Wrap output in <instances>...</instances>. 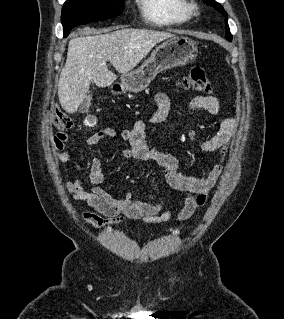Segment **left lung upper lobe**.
<instances>
[{
	"mask_svg": "<svg viewBox=\"0 0 284 319\" xmlns=\"http://www.w3.org/2000/svg\"><path fill=\"white\" fill-rule=\"evenodd\" d=\"M204 3H206L207 5L213 6L217 11H219L223 16L227 17V13L225 12V10L223 9V7L217 3L215 0H203ZM226 21V32H225V37L228 41L232 40V35L230 33V29L228 27L227 24V19Z\"/></svg>",
	"mask_w": 284,
	"mask_h": 319,
	"instance_id": "5c2ea615",
	"label": "left lung upper lobe"
}]
</instances>
